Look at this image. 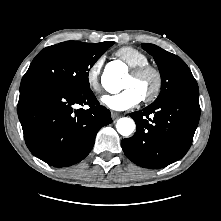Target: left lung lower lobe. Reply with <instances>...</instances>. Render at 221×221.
<instances>
[{"label":"left lung lower lobe","instance_id":"obj_1","mask_svg":"<svg viewBox=\"0 0 221 221\" xmlns=\"http://www.w3.org/2000/svg\"><path fill=\"white\" fill-rule=\"evenodd\" d=\"M129 115L137 131L122 140L125 155L144 168L166 167L181 159L191 146L200 118L199 97L177 95Z\"/></svg>","mask_w":221,"mask_h":221}]
</instances>
